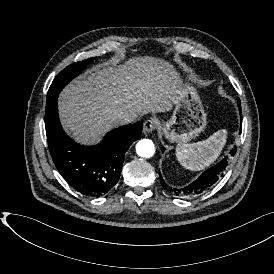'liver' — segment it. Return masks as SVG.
<instances>
[{"label": "liver", "instance_id": "obj_1", "mask_svg": "<svg viewBox=\"0 0 274 274\" xmlns=\"http://www.w3.org/2000/svg\"><path fill=\"white\" fill-rule=\"evenodd\" d=\"M181 87L178 75L163 60L137 58L121 68L115 62L106 63L64 90L61 117L77 139L94 142L120 124L122 113L138 117L150 111L171 110L179 100Z\"/></svg>", "mask_w": 274, "mask_h": 274}]
</instances>
